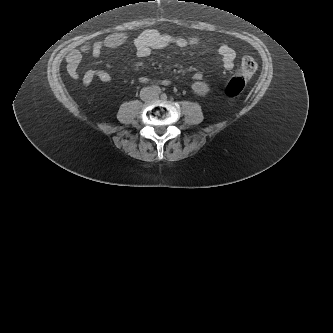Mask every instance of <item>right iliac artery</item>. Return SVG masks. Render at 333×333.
<instances>
[{"mask_svg": "<svg viewBox=\"0 0 333 333\" xmlns=\"http://www.w3.org/2000/svg\"><path fill=\"white\" fill-rule=\"evenodd\" d=\"M148 90L153 93H157V94L161 92V89L156 85H152V86L148 87Z\"/></svg>", "mask_w": 333, "mask_h": 333, "instance_id": "right-iliac-artery-1", "label": "right iliac artery"}]
</instances>
